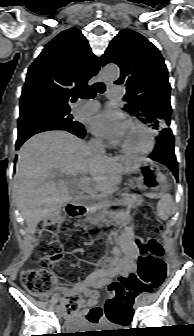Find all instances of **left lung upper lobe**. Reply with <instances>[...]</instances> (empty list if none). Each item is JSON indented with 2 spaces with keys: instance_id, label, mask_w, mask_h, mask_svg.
Instances as JSON below:
<instances>
[{
  "instance_id": "1",
  "label": "left lung upper lobe",
  "mask_w": 194,
  "mask_h": 336,
  "mask_svg": "<svg viewBox=\"0 0 194 336\" xmlns=\"http://www.w3.org/2000/svg\"><path fill=\"white\" fill-rule=\"evenodd\" d=\"M116 63L121 69L115 84L126 86L124 110L143 123L162 129L170 126V84L160 51L141 34L124 29L101 57L102 66Z\"/></svg>"
}]
</instances>
